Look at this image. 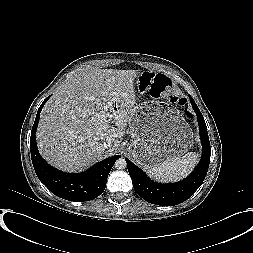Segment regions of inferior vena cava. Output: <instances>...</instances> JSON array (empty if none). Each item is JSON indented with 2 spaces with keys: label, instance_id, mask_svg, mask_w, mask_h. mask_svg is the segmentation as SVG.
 I'll list each match as a JSON object with an SVG mask.
<instances>
[{
  "label": "inferior vena cava",
  "instance_id": "obj_1",
  "mask_svg": "<svg viewBox=\"0 0 253 253\" xmlns=\"http://www.w3.org/2000/svg\"><path fill=\"white\" fill-rule=\"evenodd\" d=\"M111 144H112V142H111L110 140H107V141H105L102 145H103V147H104L105 149H107L108 147L111 146Z\"/></svg>",
  "mask_w": 253,
  "mask_h": 253
}]
</instances>
